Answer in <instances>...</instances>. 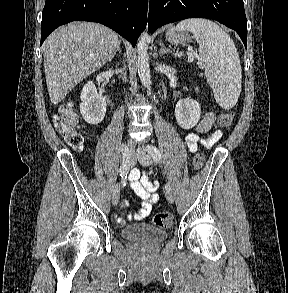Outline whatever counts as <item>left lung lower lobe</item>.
<instances>
[{
    "instance_id": "left-lung-lower-lobe-1",
    "label": "left lung lower lobe",
    "mask_w": 288,
    "mask_h": 293,
    "mask_svg": "<svg viewBox=\"0 0 288 293\" xmlns=\"http://www.w3.org/2000/svg\"><path fill=\"white\" fill-rule=\"evenodd\" d=\"M208 18L235 30L247 47V20L243 0H150V33L167 23L187 18Z\"/></svg>"
}]
</instances>
